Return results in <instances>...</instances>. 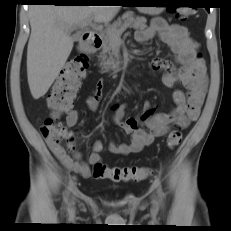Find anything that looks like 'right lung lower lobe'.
<instances>
[{
    "instance_id": "1",
    "label": "right lung lower lobe",
    "mask_w": 231,
    "mask_h": 231,
    "mask_svg": "<svg viewBox=\"0 0 231 231\" xmlns=\"http://www.w3.org/2000/svg\"><path fill=\"white\" fill-rule=\"evenodd\" d=\"M27 2L37 4V3H53L55 5H80L78 0H26Z\"/></svg>"
}]
</instances>
